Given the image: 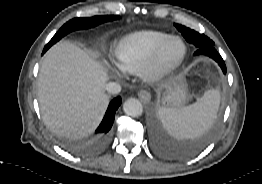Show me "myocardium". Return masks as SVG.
Returning <instances> with one entry per match:
<instances>
[{"label":"myocardium","mask_w":262,"mask_h":184,"mask_svg":"<svg viewBox=\"0 0 262 184\" xmlns=\"http://www.w3.org/2000/svg\"><path fill=\"white\" fill-rule=\"evenodd\" d=\"M173 42H178L181 45V52L176 58L167 60L165 54ZM186 54L187 47L183 39L178 36H170L155 50L140 69L141 76L149 82L160 81L173 73L182 64Z\"/></svg>","instance_id":"1"}]
</instances>
